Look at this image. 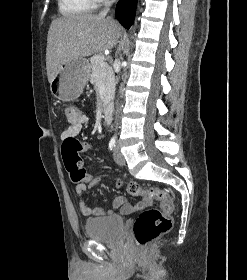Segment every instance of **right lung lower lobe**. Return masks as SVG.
Masks as SVG:
<instances>
[{"mask_svg":"<svg viewBox=\"0 0 247 280\" xmlns=\"http://www.w3.org/2000/svg\"><path fill=\"white\" fill-rule=\"evenodd\" d=\"M137 0H119L116 7V17L125 28L133 24Z\"/></svg>","mask_w":247,"mask_h":280,"instance_id":"obj_1","label":"right lung lower lobe"}]
</instances>
